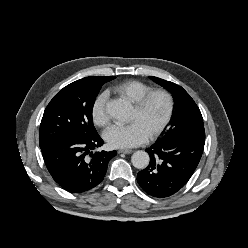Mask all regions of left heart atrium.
Masks as SVG:
<instances>
[{
  "mask_svg": "<svg viewBox=\"0 0 248 248\" xmlns=\"http://www.w3.org/2000/svg\"><path fill=\"white\" fill-rule=\"evenodd\" d=\"M106 142L113 148H130L146 142L149 133L139 121L127 125H113L104 133Z\"/></svg>",
  "mask_w": 248,
  "mask_h": 248,
  "instance_id": "1",
  "label": "left heart atrium"
}]
</instances>
